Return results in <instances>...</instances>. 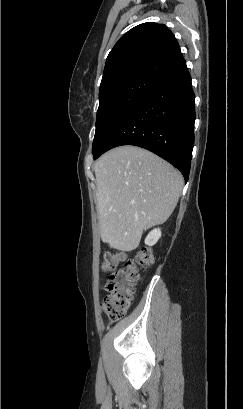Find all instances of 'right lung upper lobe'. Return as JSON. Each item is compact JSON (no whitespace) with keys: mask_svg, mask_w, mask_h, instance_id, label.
I'll use <instances>...</instances> for the list:
<instances>
[{"mask_svg":"<svg viewBox=\"0 0 243 409\" xmlns=\"http://www.w3.org/2000/svg\"><path fill=\"white\" fill-rule=\"evenodd\" d=\"M183 59L176 38L164 24H140L125 33L109 53L99 97L112 84L136 76L160 80Z\"/></svg>","mask_w":243,"mask_h":409,"instance_id":"right-lung-upper-lobe-1","label":"right lung upper lobe"}]
</instances>
